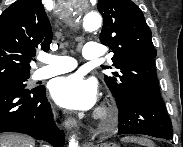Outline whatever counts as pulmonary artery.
<instances>
[{
    "label": "pulmonary artery",
    "instance_id": "e3ab8cb5",
    "mask_svg": "<svg viewBox=\"0 0 183 147\" xmlns=\"http://www.w3.org/2000/svg\"><path fill=\"white\" fill-rule=\"evenodd\" d=\"M100 46L94 42L86 43L82 48V55L86 59H96L100 57ZM45 66L37 69L34 73L35 79H46L62 73L69 72L76 68L75 59L68 56L45 55L41 58Z\"/></svg>",
    "mask_w": 183,
    "mask_h": 147
}]
</instances>
